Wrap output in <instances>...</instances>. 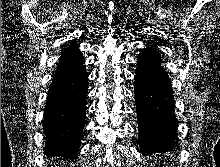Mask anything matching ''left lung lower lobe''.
I'll return each mask as SVG.
<instances>
[{
  "mask_svg": "<svg viewBox=\"0 0 220 167\" xmlns=\"http://www.w3.org/2000/svg\"><path fill=\"white\" fill-rule=\"evenodd\" d=\"M152 47L141 51L135 75L139 144L142 154L171 151L176 139L172 85Z\"/></svg>",
  "mask_w": 220,
  "mask_h": 167,
  "instance_id": "1",
  "label": "left lung lower lobe"
}]
</instances>
